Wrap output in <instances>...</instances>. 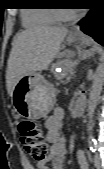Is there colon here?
<instances>
[{
	"instance_id": "obj_1",
	"label": "colon",
	"mask_w": 104,
	"mask_h": 169,
	"mask_svg": "<svg viewBox=\"0 0 104 169\" xmlns=\"http://www.w3.org/2000/svg\"><path fill=\"white\" fill-rule=\"evenodd\" d=\"M18 132L25 151L37 162L44 161L49 147L43 138L41 127L33 121L23 120L18 124Z\"/></svg>"
}]
</instances>
